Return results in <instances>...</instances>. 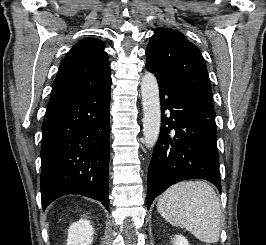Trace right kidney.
<instances>
[{
  "mask_svg": "<svg viewBox=\"0 0 266 245\" xmlns=\"http://www.w3.org/2000/svg\"><path fill=\"white\" fill-rule=\"evenodd\" d=\"M93 227L90 221L80 219L74 223L75 245H91L93 239Z\"/></svg>",
  "mask_w": 266,
  "mask_h": 245,
  "instance_id": "ca27d5eb",
  "label": "right kidney"
}]
</instances>
